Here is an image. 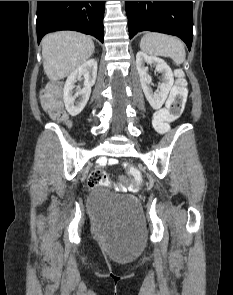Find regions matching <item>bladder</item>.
<instances>
[{
    "mask_svg": "<svg viewBox=\"0 0 233 295\" xmlns=\"http://www.w3.org/2000/svg\"><path fill=\"white\" fill-rule=\"evenodd\" d=\"M87 203L89 211L98 222L132 217L140 213V205L136 198L116 194L99 186L93 188Z\"/></svg>",
    "mask_w": 233,
    "mask_h": 295,
    "instance_id": "obj_1",
    "label": "bladder"
}]
</instances>
